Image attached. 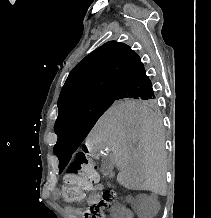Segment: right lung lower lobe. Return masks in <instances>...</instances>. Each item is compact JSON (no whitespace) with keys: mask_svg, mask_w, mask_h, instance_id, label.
I'll list each match as a JSON object with an SVG mask.
<instances>
[{"mask_svg":"<svg viewBox=\"0 0 211 218\" xmlns=\"http://www.w3.org/2000/svg\"><path fill=\"white\" fill-rule=\"evenodd\" d=\"M119 97H156L152 83L142 66L121 88Z\"/></svg>","mask_w":211,"mask_h":218,"instance_id":"98d812e1","label":"right lung lower lobe"}]
</instances>
